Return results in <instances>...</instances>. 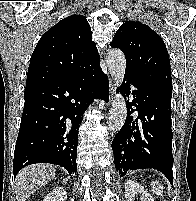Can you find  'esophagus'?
<instances>
[{"label":"esophagus","mask_w":196,"mask_h":201,"mask_svg":"<svg viewBox=\"0 0 196 201\" xmlns=\"http://www.w3.org/2000/svg\"><path fill=\"white\" fill-rule=\"evenodd\" d=\"M111 89H112V91L114 92V88H113V85L111 84Z\"/></svg>","instance_id":"obj_1"}]
</instances>
